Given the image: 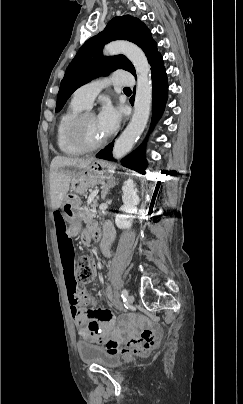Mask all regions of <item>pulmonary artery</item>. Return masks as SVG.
I'll list each match as a JSON object with an SVG mask.
<instances>
[{
  "instance_id": "1",
  "label": "pulmonary artery",
  "mask_w": 243,
  "mask_h": 404,
  "mask_svg": "<svg viewBox=\"0 0 243 404\" xmlns=\"http://www.w3.org/2000/svg\"><path fill=\"white\" fill-rule=\"evenodd\" d=\"M121 86V82L112 76L96 78L88 83L83 84L79 89L77 96L87 108H90L95 97L106 87Z\"/></svg>"
}]
</instances>
